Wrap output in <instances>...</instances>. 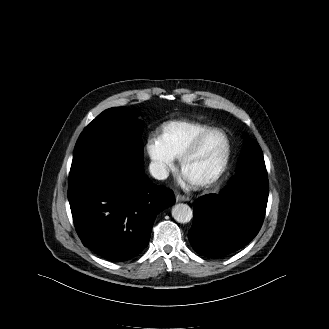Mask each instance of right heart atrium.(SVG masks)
Masks as SVG:
<instances>
[{
	"instance_id": "right-heart-atrium-1",
	"label": "right heart atrium",
	"mask_w": 329,
	"mask_h": 329,
	"mask_svg": "<svg viewBox=\"0 0 329 329\" xmlns=\"http://www.w3.org/2000/svg\"><path fill=\"white\" fill-rule=\"evenodd\" d=\"M146 151L152 162L155 174L164 177L173 167L175 158L165 149L158 138H149Z\"/></svg>"
}]
</instances>
